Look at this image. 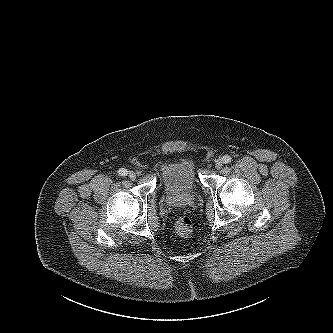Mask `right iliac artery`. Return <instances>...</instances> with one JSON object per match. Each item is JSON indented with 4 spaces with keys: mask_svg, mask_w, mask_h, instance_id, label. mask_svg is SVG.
<instances>
[{
    "mask_svg": "<svg viewBox=\"0 0 333 333\" xmlns=\"http://www.w3.org/2000/svg\"><path fill=\"white\" fill-rule=\"evenodd\" d=\"M118 174H119L120 176H126V175L128 174V171H127L126 169H124V168H120V169L118 170Z\"/></svg>",
    "mask_w": 333,
    "mask_h": 333,
    "instance_id": "1",
    "label": "right iliac artery"
}]
</instances>
